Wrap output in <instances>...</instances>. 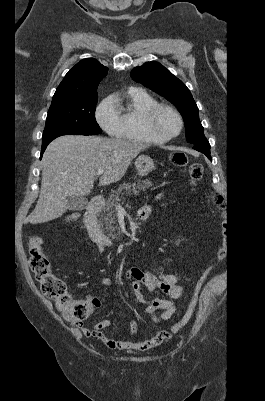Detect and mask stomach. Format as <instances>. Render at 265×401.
<instances>
[{"label":"stomach","instance_id":"0dacf381","mask_svg":"<svg viewBox=\"0 0 265 401\" xmlns=\"http://www.w3.org/2000/svg\"><path fill=\"white\" fill-rule=\"evenodd\" d=\"M135 166L137 170V174L140 176H145V174H149L151 170L154 168V160L148 154H140L138 158L135 160Z\"/></svg>","mask_w":265,"mask_h":401}]
</instances>
